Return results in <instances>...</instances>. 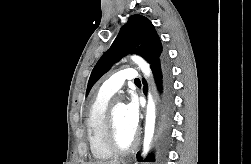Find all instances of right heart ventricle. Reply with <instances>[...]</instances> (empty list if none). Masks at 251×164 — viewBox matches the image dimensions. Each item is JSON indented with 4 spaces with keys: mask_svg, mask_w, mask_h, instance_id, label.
Listing matches in <instances>:
<instances>
[{
    "mask_svg": "<svg viewBox=\"0 0 251 164\" xmlns=\"http://www.w3.org/2000/svg\"><path fill=\"white\" fill-rule=\"evenodd\" d=\"M110 96L98 93L92 101L87 117L86 129L90 151L97 160H107L115 153L110 149L106 139V118Z\"/></svg>",
    "mask_w": 251,
    "mask_h": 164,
    "instance_id": "right-heart-ventricle-1",
    "label": "right heart ventricle"
}]
</instances>
